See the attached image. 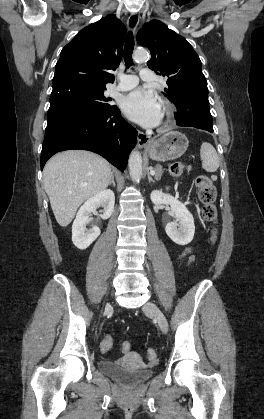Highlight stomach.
I'll use <instances>...</instances> for the list:
<instances>
[{"label": "stomach", "instance_id": "stomach-1", "mask_svg": "<svg viewBox=\"0 0 264 419\" xmlns=\"http://www.w3.org/2000/svg\"><path fill=\"white\" fill-rule=\"evenodd\" d=\"M189 145L188 138L177 131L164 134L157 140H152L146 147V152L156 161H168L181 157Z\"/></svg>", "mask_w": 264, "mask_h": 419}]
</instances>
